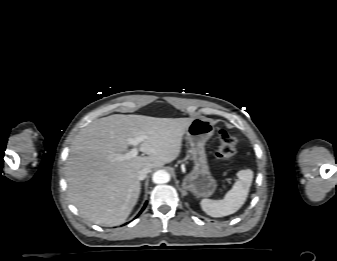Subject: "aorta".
Returning <instances> with one entry per match:
<instances>
[{
  "label": "aorta",
  "instance_id": "aorta-1",
  "mask_svg": "<svg viewBox=\"0 0 337 261\" xmlns=\"http://www.w3.org/2000/svg\"><path fill=\"white\" fill-rule=\"evenodd\" d=\"M152 180L156 184L167 183L170 180V175L164 170H158L153 174Z\"/></svg>",
  "mask_w": 337,
  "mask_h": 261
}]
</instances>
